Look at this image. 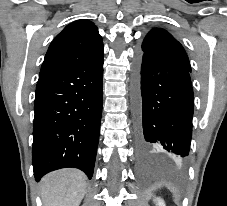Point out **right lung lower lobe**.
Segmentation results:
<instances>
[{
	"label": "right lung lower lobe",
	"instance_id": "right-lung-lower-lobe-1",
	"mask_svg": "<svg viewBox=\"0 0 227 206\" xmlns=\"http://www.w3.org/2000/svg\"><path fill=\"white\" fill-rule=\"evenodd\" d=\"M103 58L39 78L34 102L32 163L46 173L75 167L92 178L102 115Z\"/></svg>",
	"mask_w": 227,
	"mask_h": 206
}]
</instances>
